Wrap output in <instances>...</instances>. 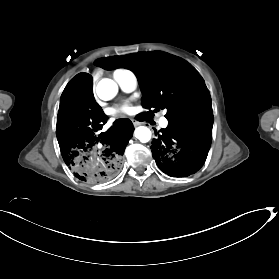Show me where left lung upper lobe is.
<instances>
[{
	"label": "left lung upper lobe",
	"instance_id": "left-lung-upper-lobe-1",
	"mask_svg": "<svg viewBox=\"0 0 279 279\" xmlns=\"http://www.w3.org/2000/svg\"><path fill=\"white\" fill-rule=\"evenodd\" d=\"M106 70L126 68L137 76L142 105L152 116L166 109L169 122L190 121L213 116L211 98L204 81L184 60L162 52H140L126 56L101 58L94 62Z\"/></svg>",
	"mask_w": 279,
	"mask_h": 279
}]
</instances>
